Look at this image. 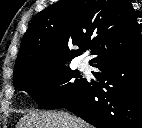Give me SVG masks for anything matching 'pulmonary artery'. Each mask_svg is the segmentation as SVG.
Returning a JSON list of instances; mask_svg holds the SVG:
<instances>
[{
    "instance_id": "e3ab8cb5",
    "label": "pulmonary artery",
    "mask_w": 142,
    "mask_h": 128,
    "mask_svg": "<svg viewBox=\"0 0 142 128\" xmlns=\"http://www.w3.org/2000/svg\"><path fill=\"white\" fill-rule=\"evenodd\" d=\"M79 66L82 70H88L89 69V65H88V62L83 60L79 63Z\"/></svg>"
}]
</instances>
